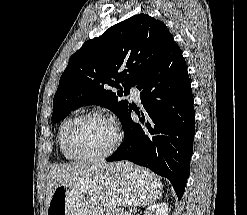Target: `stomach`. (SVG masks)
<instances>
[{"label": "stomach", "instance_id": "stomach-1", "mask_svg": "<svg viewBox=\"0 0 247 215\" xmlns=\"http://www.w3.org/2000/svg\"><path fill=\"white\" fill-rule=\"evenodd\" d=\"M161 189V182L148 170L129 162L115 163L83 188L59 185L46 215H105L120 206L147 205L160 196Z\"/></svg>", "mask_w": 247, "mask_h": 215}]
</instances>
